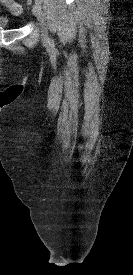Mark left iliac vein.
I'll use <instances>...</instances> for the list:
<instances>
[{
  "label": "left iliac vein",
  "instance_id": "obj_1",
  "mask_svg": "<svg viewBox=\"0 0 133 275\" xmlns=\"http://www.w3.org/2000/svg\"><path fill=\"white\" fill-rule=\"evenodd\" d=\"M33 14L40 20L42 21V8L41 5L38 3H35L33 5ZM43 39L45 42L49 41V37L47 35V30L43 28Z\"/></svg>",
  "mask_w": 133,
  "mask_h": 275
}]
</instances>
